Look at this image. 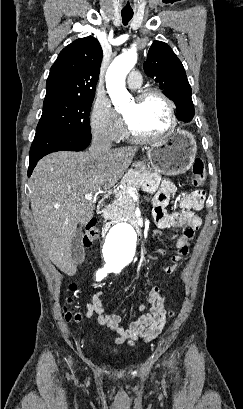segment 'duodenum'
I'll return each mask as SVG.
<instances>
[{"label": "duodenum", "mask_w": 243, "mask_h": 409, "mask_svg": "<svg viewBox=\"0 0 243 409\" xmlns=\"http://www.w3.org/2000/svg\"><path fill=\"white\" fill-rule=\"evenodd\" d=\"M116 200H117L116 193L110 194L109 196H107L106 198L100 201V203L97 206V212L103 213L109 210L115 204ZM131 224L135 228V230L138 232V235H141V228H140V224L138 223V221L132 220ZM111 225H112L111 221L106 222L105 225L103 226V233H106L111 227Z\"/></svg>", "instance_id": "410a0bca"}]
</instances>
